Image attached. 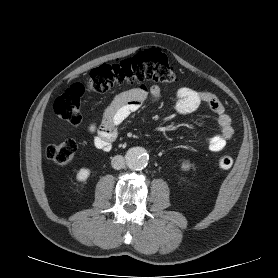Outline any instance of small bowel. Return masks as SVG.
<instances>
[{"label":"small bowel","mask_w":278,"mask_h":278,"mask_svg":"<svg viewBox=\"0 0 278 278\" xmlns=\"http://www.w3.org/2000/svg\"><path fill=\"white\" fill-rule=\"evenodd\" d=\"M161 97V89L157 85L138 87L123 91L116 95L106 107L101 123L92 122L88 132L92 135V142L96 149L108 152L119 136L118 127L135 111L148 101H157ZM205 103L216 116L219 126L218 132L205 138L209 149L213 152L223 150L227 142L233 137L234 129L231 118L226 113L223 104L215 94L209 91H197L189 87H181L176 92V111L188 115L196 111Z\"/></svg>","instance_id":"c3829d8e"}]
</instances>
